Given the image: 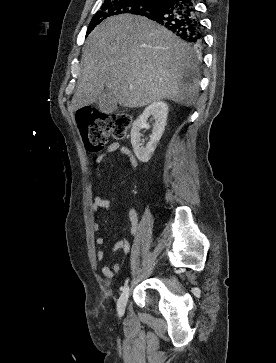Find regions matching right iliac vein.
I'll return each instance as SVG.
<instances>
[{
	"label": "right iliac vein",
	"instance_id": "63e3f726",
	"mask_svg": "<svg viewBox=\"0 0 276 363\" xmlns=\"http://www.w3.org/2000/svg\"><path fill=\"white\" fill-rule=\"evenodd\" d=\"M130 294V287L125 286L117 302V310L119 315H123L125 312L126 304Z\"/></svg>",
	"mask_w": 276,
	"mask_h": 363
}]
</instances>
